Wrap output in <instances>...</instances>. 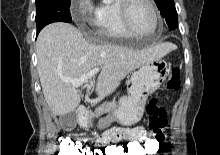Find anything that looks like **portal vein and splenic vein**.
<instances>
[{"mask_svg":"<svg viewBox=\"0 0 220 155\" xmlns=\"http://www.w3.org/2000/svg\"><path fill=\"white\" fill-rule=\"evenodd\" d=\"M100 71V68H94L88 73L81 75L79 78H62L66 83H71L74 88L82 86L88 79L95 76Z\"/></svg>","mask_w":220,"mask_h":155,"instance_id":"1","label":"portal vein and splenic vein"}]
</instances>
